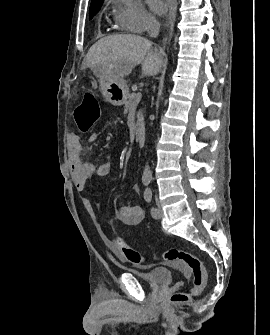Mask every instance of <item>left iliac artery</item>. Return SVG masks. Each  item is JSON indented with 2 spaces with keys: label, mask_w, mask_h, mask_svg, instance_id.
Returning <instances> with one entry per match:
<instances>
[{
  "label": "left iliac artery",
  "mask_w": 270,
  "mask_h": 335,
  "mask_svg": "<svg viewBox=\"0 0 270 335\" xmlns=\"http://www.w3.org/2000/svg\"><path fill=\"white\" fill-rule=\"evenodd\" d=\"M144 199L147 203H150L152 200V191L150 188H146L144 192ZM151 215L155 217L157 215V209L155 207H151L150 209Z\"/></svg>",
  "instance_id": "obj_1"
}]
</instances>
